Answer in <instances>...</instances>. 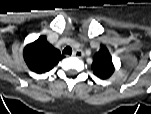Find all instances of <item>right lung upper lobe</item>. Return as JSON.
I'll return each mask as SVG.
<instances>
[{
  "instance_id": "obj_1",
  "label": "right lung upper lobe",
  "mask_w": 151,
  "mask_h": 114,
  "mask_svg": "<svg viewBox=\"0 0 151 114\" xmlns=\"http://www.w3.org/2000/svg\"><path fill=\"white\" fill-rule=\"evenodd\" d=\"M23 57L28 68L35 73L51 70L62 58L60 51L48 43L45 36L26 45Z\"/></svg>"
}]
</instances>
